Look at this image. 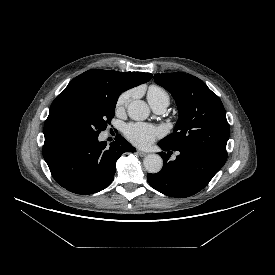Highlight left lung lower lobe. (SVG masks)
I'll return each mask as SVG.
<instances>
[{
  "label": "left lung lower lobe",
  "instance_id": "0a47b994",
  "mask_svg": "<svg viewBox=\"0 0 275 275\" xmlns=\"http://www.w3.org/2000/svg\"><path fill=\"white\" fill-rule=\"evenodd\" d=\"M163 168L156 174H147L149 184L170 197H189L201 191L225 164L226 159L197 149L170 147L161 141ZM172 151H178L170 160Z\"/></svg>",
  "mask_w": 275,
  "mask_h": 275
}]
</instances>
